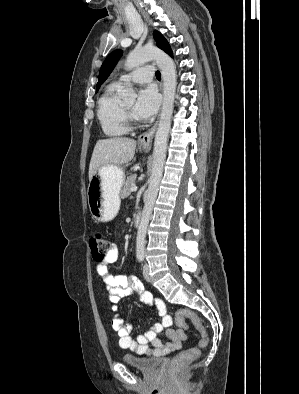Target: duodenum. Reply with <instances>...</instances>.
<instances>
[{
    "label": "duodenum",
    "instance_id": "410a0bca",
    "mask_svg": "<svg viewBox=\"0 0 299 394\" xmlns=\"http://www.w3.org/2000/svg\"><path fill=\"white\" fill-rule=\"evenodd\" d=\"M141 220H142V215L141 213H138L135 217V225L139 226L141 224Z\"/></svg>",
    "mask_w": 299,
    "mask_h": 394
}]
</instances>
